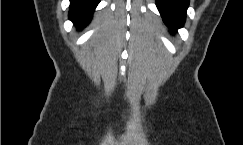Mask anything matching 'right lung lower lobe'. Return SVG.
I'll list each match as a JSON object with an SVG mask.
<instances>
[{"instance_id": "1", "label": "right lung lower lobe", "mask_w": 243, "mask_h": 145, "mask_svg": "<svg viewBox=\"0 0 243 145\" xmlns=\"http://www.w3.org/2000/svg\"><path fill=\"white\" fill-rule=\"evenodd\" d=\"M69 18L78 29L85 27L100 0H70Z\"/></svg>"}]
</instances>
